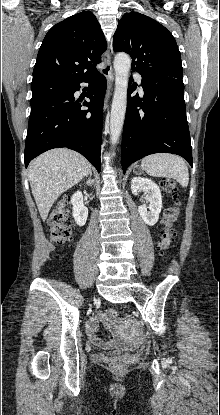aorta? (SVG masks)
<instances>
[{"mask_svg": "<svg viewBox=\"0 0 220 415\" xmlns=\"http://www.w3.org/2000/svg\"><path fill=\"white\" fill-rule=\"evenodd\" d=\"M130 68V57L126 53L116 54L114 59L115 90L110 117V136L113 146L117 143L125 119Z\"/></svg>", "mask_w": 220, "mask_h": 415, "instance_id": "obj_1", "label": "aorta"}]
</instances>
